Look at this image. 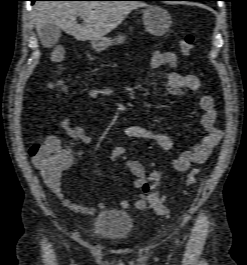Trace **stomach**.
<instances>
[{
  "label": "stomach",
  "mask_w": 247,
  "mask_h": 265,
  "mask_svg": "<svg viewBox=\"0 0 247 265\" xmlns=\"http://www.w3.org/2000/svg\"><path fill=\"white\" fill-rule=\"evenodd\" d=\"M142 20L146 31L155 36L164 35L172 23L168 11L157 5L147 7L143 12ZM125 40L123 35H118L115 39L103 37L92 40L91 47L96 52H102L112 45L124 43Z\"/></svg>",
  "instance_id": "1"
}]
</instances>
